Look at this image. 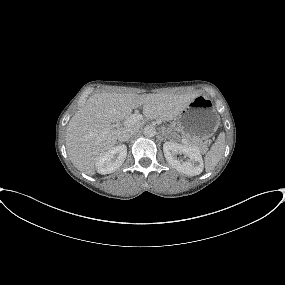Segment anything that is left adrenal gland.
Segmentation results:
<instances>
[{
	"instance_id": "obj_1",
	"label": "left adrenal gland",
	"mask_w": 285,
	"mask_h": 285,
	"mask_svg": "<svg viewBox=\"0 0 285 285\" xmlns=\"http://www.w3.org/2000/svg\"><path fill=\"white\" fill-rule=\"evenodd\" d=\"M162 134H163V136L165 137V139H170V137L167 135V132H166V130H162Z\"/></svg>"
}]
</instances>
